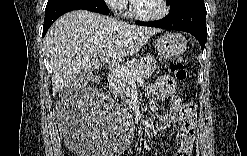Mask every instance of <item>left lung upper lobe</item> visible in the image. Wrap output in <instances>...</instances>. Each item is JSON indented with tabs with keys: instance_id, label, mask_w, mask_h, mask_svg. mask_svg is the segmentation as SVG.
<instances>
[{
	"instance_id": "1",
	"label": "left lung upper lobe",
	"mask_w": 247,
	"mask_h": 156,
	"mask_svg": "<svg viewBox=\"0 0 247 156\" xmlns=\"http://www.w3.org/2000/svg\"><path fill=\"white\" fill-rule=\"evenodd\" d=\"M186 1L187 0H170L169 1V4H170V11L169 12H174V11L180 9Z\"/></svg>"
}]
</instances>
